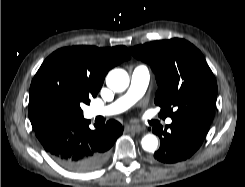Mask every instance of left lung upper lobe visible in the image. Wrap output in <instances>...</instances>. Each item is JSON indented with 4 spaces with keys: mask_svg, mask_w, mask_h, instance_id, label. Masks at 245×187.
<instances>
[{
    "mask_svg": "<svg viewBox=\"0 0 245 187\" xmlns=\"http://www.w3.org/2000/svg\"><path fill=\"white\" fill-rule=\"evenodd\" d=\"M134 57L151 65L159 89L160 117L175 121L207 120L214 115L217 83L202 53L184 39L131 47Z\"/></svg>",
    "mask_w": 245,
    "mask_h": 187,
    "instance_id": "5c2ea615",
    "label": "left lung upper lobe"
}]
</instances>
